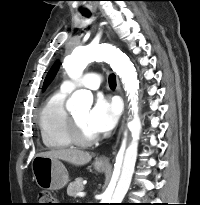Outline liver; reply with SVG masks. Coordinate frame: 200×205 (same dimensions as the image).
I'll list each match as a JSON object with an SVG mask.
<instances>
[{"label":"liver","instance_id":"1","mask_svg":"<svg viewBox=\"0 0 200 205\" xmlns=\"http://www.w3.org/2000/svg\"><path fill=\"white\" fill-rule=\"evenodd\" d=\"M38 156L60 159L75 166L85 165L89 163L92 158L91 154L88 152L67 148L41 152L38 154Z\"/></svg>","mask_w":200,"mask_h":205}]
</instances>
